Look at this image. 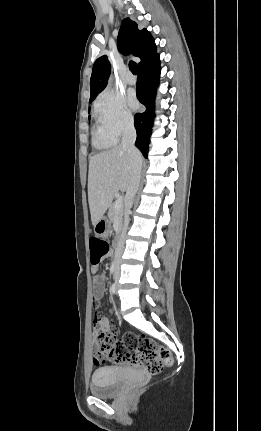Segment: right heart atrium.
<instances>
[{
	"label": "right heart atrium",
	"mask_w": 261,
	"mask_h": 431,
	"mask_svg": "<svg viewBox=\"0 0 261 431\" xmlns=\"http://www.w3.org/2000/svg\"><path fill=\"white\" fill-rule=\"evenodd\" d=\"M95 107L103 126L113 136L119 137L133 126V115L119 93L104 90L97 97Z\"/></svg>",
	"instance_id": "right-heart-atrium-1"
}]
</instances>
